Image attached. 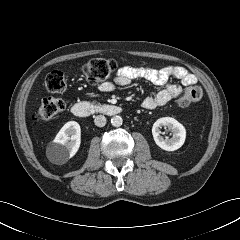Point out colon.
<instances>
[{
  "label": "colon",
  "instance_id": "obj_1",
  "mask_svg": "<svg viewBox=\"0 0 240 240\" xmlns=\"http://www.w3.org/2000/svg\"><path fill=\"white\" fill-rule=\"evenodd\" d=\"M116 68L117 63L113 59H93L84 64L83 74L90 84L96 85L109 78ZM65 87L66 79L61 71L55 70L47 75L45 88L48 92H61ZM202 96V88L198 85H191L180 95L178 103L181 107H187L199 102ZM65 107L66 102L63 98L46 99L35 114V120L44 121L51 119L61 113Z\"/></svg>",
  "mask_w": 240,
  "mask_h": 240
}]
</instances>
